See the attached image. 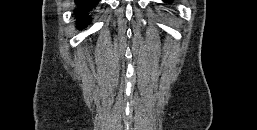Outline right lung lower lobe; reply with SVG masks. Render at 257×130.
Returning <instances> with one entry per match:
<instances>
[{"instance_id": "98d812e1", "label": "right lung lower lobe", "mask_w": 257, "mask_h": 130, "mask_svg": "<svg viewBox=\"0 0 257 130\" xmlns=\"http://www.w3.org/2000/svg\"><path fill=\"white\" fill-rule=\"evenodd\" d=\"M75 2L77 5L75 10L78 19L77 24L79 28H83L90 22V18H88L85 13L95 7L98 0H75Z\"/></svg>"}]
</instances>
